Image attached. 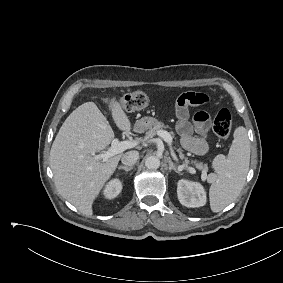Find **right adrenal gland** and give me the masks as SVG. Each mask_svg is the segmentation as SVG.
Instances as JSON below:
<instances>
[{
  "instance_id": "1",
  "label": "right adrenal gland",
  "mask_w": 283,
  "mask_h": 283,
  "mask_svg": "<svg viewBox=\"0 0 283 283\" xmlns=\"http://www.w3.org/2000/svg\"><path fill=\"white\" fill-rule=\"evenodd\" d=\"M118 169L119 170L122 169V170H124L126 172H129V171H131L133 169V167L119 166Z\"/></svg>"
}]
</instances>
